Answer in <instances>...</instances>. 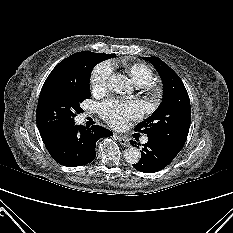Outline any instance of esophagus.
I'll return each mask as SVG.
<instances>
[{"mask_svg":"<svg viewBox=\"0 0 233 233\" xmlns=\"http://www.w3.org/2000/svg\"><path fill=\"white\" fill-rule=\"evenodd\" d=\"M119 142L121 145H123L124 147H129L130 146V142L129 139L123 136H118Z\"/></svg>","mask_w":233,"mask_h":233,"instance_id":"obj_1","label":"esophagus"}]
</instances>
